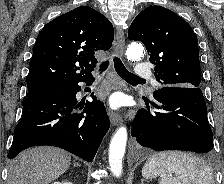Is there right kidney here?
<instances>
[{"instance_id":"obj_1","label":"right kidney","mask_w":224,"mask_h":184,"mask_svg":"<svg viewBox=\"0 0 224 184\" xmlns=\"http://www.w3.org/2000/svg\"><path fill=\"white\" fill-rule=\"evenodd\" d=\"M53 184H73V183H71V182H62V183H60V182H54Z\"/></svg>"}]
</instances>
